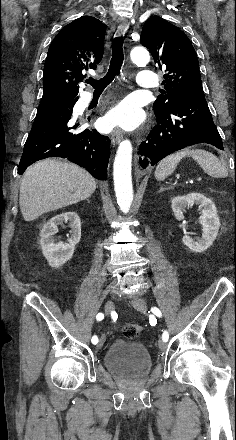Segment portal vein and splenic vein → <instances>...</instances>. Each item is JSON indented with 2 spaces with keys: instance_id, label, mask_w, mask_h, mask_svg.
Returning <instances> with one entry per match:
<instances>
[{
  "instance_id": "portal-vein-and-splenic-vein-1",
  "label": "portal vein and splenic vein",
  "mask_w": 236,
  "mask_h": 440,
  "mask_svg": "<svg viewBox=\"0 0 236 440\" xmlns=\"http://www.w3.org/2000/svg\"><path fill=\"white\" fill-rule=\"evenodd\" d=\"M201 179H202L201 177H198V178H197L198 181H200Z\"/></svg>"
}]
</instances>
